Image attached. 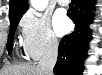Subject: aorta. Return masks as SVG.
Wrapping results in <instances>:
<instances>
[{
  "mask_svg": "<svg viewBox=\"0 0 102 75\" xmlns=\"http://www.w3.org/2000/svg\"><path fill=\"white\" fill-rule=\"evenodd\" d=\"M31 5L34 9L43 11L48 5V0H31Z\"/></svg>",
  "mask_w": 102,
  "mask_h": 75,
  "instance_id": "762f6f07",
  "label": "aorta"
}]
</instances>
